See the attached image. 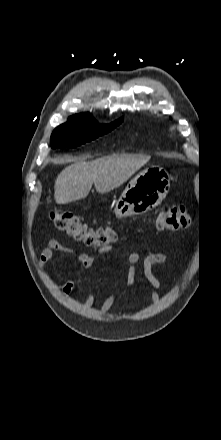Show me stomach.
<instances>
[{
	"label": "stomach",
	"mask_w": 221,
	"mask_h": 440,
	"mask_svg": "<svg viewBox=\"0 0 221 440\" xmlns=\"http://www.w3.org/2000/svg\"><path fill=\"white\" fill-rule=\"evenodd\" d=\"M171 176L152 166L137 174L126 186L115 205L117 217L143 214L158 206L170 190Z\"/></svg>",
	"instance_id": "0dacf381"
}]
</instances>
